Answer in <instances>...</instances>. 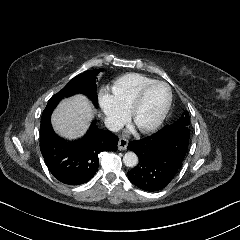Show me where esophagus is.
I'll list each match as a JSON object with an SVG mask.
<instances>
[{"label": "esophagus", "instance_id": "1", "mask_svg": "<svg viewBox=\"0 0 240 240\" xmlns=\"http://www.w3.org/2000/svg\"><path fill=\"white\" fill-rule=\"evenodd\" d=\"M128 140L126 138H120L118 141V149L124 151L127 149Z\"/></svg>", "mask_w": 240, "mask_h": 240}]
</instances>
